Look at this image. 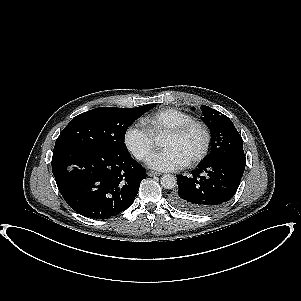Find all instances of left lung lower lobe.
<instances>
[{"label":"left lung lower lobe","mask_w":301,"mask_h":301,"mask_svg":"<svg viewBox=\"0 0 301 301\" xmlns=\"http://www.w3.org/2000/svg\"><path fill=\"white\" fill-rule=\"evenodd\" d=\"M246 165L243 151H226L203 162L193 177H177L178 189L170 203L194 213H210L228 203L235 195Z\"/></svg>","instance_id":"0a47b994"}]
</instances>
